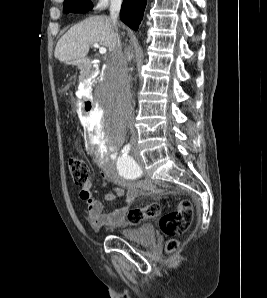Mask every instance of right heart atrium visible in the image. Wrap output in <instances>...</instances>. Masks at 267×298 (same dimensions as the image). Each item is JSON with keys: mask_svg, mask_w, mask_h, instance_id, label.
<instances>
[{"mask_svg": "<svg viewBox=\"0 0 267 298\" xmlns=\"http://www.w3.org/2000/svg\"><path fill=\"white\" fill-rule=\"evenodd\" d=\"M122 0H94L93 7L95 11H103L110 5L119 4Z\"/></svg>", "mask_w": 267, "mask_h": 298, "instance_id": "obj_1", "label": "right heart atrium"}]
</instances>
